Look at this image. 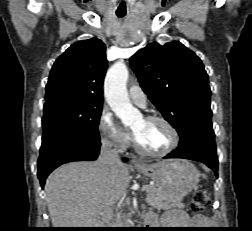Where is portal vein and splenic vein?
<instances>
[{
  "label": "portal vein and splenic vein",
  "instance_id": "18ae733b",
  "mask_svg": "<svg viewBox=\"0 0 252 231\" xmlns=\"http://www.w3.org/2000/svg\"><path fill=\"white\" fill-rule=\"evenodd\" d=\"M143 190L147 191L148 190V185H144Z\"/></svg>",
  "mask_w": 252,
  "mask_h": 231
}]
</instances>
